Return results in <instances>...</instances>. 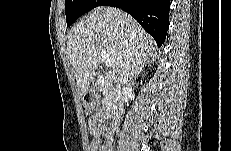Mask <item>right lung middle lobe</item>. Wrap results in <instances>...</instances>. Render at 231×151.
Instances as JSON below:
<instances>
[{
	"label": "right lung middle lobe",
	"instance_id": "right-lung-middle-lobe-1",
	"mask_svg": "<svg viewBox=\"0 0 231 151\" xmlns=\"http://www.w3.org/2000/svg\"><path fill=\"white\" fill-rule=\"evenodd\" d=\"M104 0H66V21L67 26H70L80 16L87 13L88 11L102 6Z\"/></svg>",
	"mask_w": 231,
	"mask_h": 151
}]
</instances>
